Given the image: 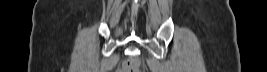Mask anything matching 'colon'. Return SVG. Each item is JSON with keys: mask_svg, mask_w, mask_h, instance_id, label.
I'll use <instances>...</instances> for the list:
<instances>
[{"mask_svg": "<svg viewBox=\"0 0 267 72\" xmlns=\"http://www.w3.org/2000/svg\"><path fill=\"white\" fill-rule=\"evenodd\" d=\"M138 63L135 61H127L120 72H139Z\"/></svg>", "mask_w": 267, "mask_h": 72, "instance_id": "5ec220e1", "label": "colon"}]
</instances>
